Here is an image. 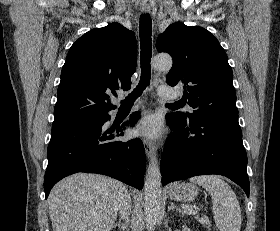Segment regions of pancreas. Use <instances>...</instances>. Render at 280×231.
Masks as SVG:
<instances>
[{
	"label": "pancreas",
	"instance_id": "1",
	"mask_svg": "<svg viewBox=\"0 0 280 231\" xmlns=\"http://www.w3.org/2000/svg\"><path fill=\"white\" fill-rule=\"evenodd\" d=\"M196 219H198V221H200V223H202V225H205V227H211V223H210V219L209 217H207V215H202V217H200V215H195Z\"/></svg>",
	"mask_w": 280,
	"mask_h": 231
}]
</instances>
